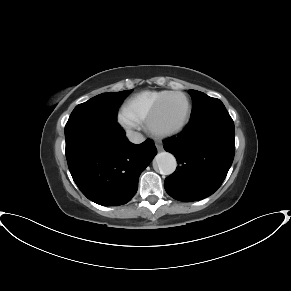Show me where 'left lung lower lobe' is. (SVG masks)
<instances>
[{"label":"left lung lower lobe","mask_w":291,"mask_h":291,"mask_svg":"<svg viewBox=\"0 0 291 291\" xmlns=\"http://www.w3.org/2000/svg\"><path fill=\"white\" fill-rule=\"evenodd\" d=\"M234 122L225 107L191 121L164 148L178 167L165 179V190L174 199L191 202L212 195L224 181L235 153Z\"/></svg>","instance_id":"0a47b994"}]
</instances>
